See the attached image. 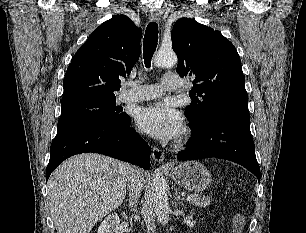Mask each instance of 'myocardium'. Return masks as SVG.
Segmentation results:
<instances>
[{
    "label": "myocardium",
    "instance_id": "myocardium-1",
    "mask_svg": "<svg viewBox=\"0 0 306 233\" xmlns=\"http://www.w3.org/2000/svg\"><path fill=\"white\" fill-rule=\"evenodd\" d=\"M189 138V132L187 130H184L182 135L180 136V138L177 141V146H181L183 145Z\"/></svg>",
    "mask_w": 306,
    "mask_h": 233
}]
</instances>
